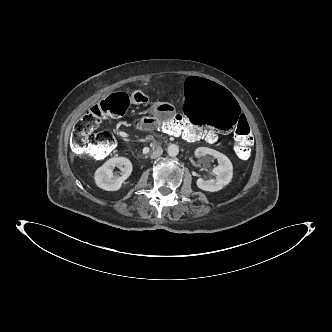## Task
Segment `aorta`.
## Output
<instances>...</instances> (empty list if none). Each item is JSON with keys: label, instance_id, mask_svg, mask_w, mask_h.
<instances>
[{"label": "aorta", "instance_id": "obj_1", "mask_svg": "<svg viewBox=\"0 0 332 332\" xmlns=\"http://www.w3.org/2000/svg\"><path fill=\"white\" fill-rule=\"evenodd\" d=\"M167 153L169 156L175 157L179 153V147L175 144H171L167 149Z\"/></svg>", "mask_w": 332, "mask_h": 332}]
</instances>
